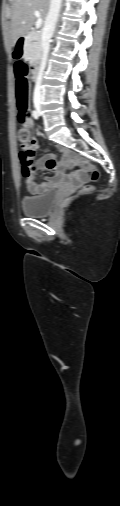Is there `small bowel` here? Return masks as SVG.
Segmentation results:
<instances>
[{
  "instance_id": "1",
  "label": "small bowel",
  "mask_w": 120,
  "mask_h": 506,
  "mask_svg": "<svg viewBox=\"0 0 120 506\" xmlns=\"http://www.w3.org/2000/svg\"><path fill=\"white\" fill-rule=\"evenodd\" d=\"M25 125L27 127H32L33 122L28 120ZM79 161V157L70 150H64L62 152L60 162L57 161L55 154H46L32 165H28L22 158V172L25 177L28 191L32 194H39L44 192L50 185L62 183L67 180H70L73 183H83L88 181V176L84 172H74L71 175H68L67 173V170L71 169L75 164L79 163ZM37 170H51L55 174L53 177L46 178L42 183L38 184L35 182L34 178Z\"/></svg>"
}]
</instances>
